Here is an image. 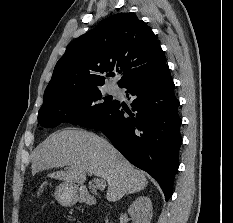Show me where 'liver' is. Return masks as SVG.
<instances>
[{
  "instance_id": "6515ba94",
  "label": "liver",
  "mask_w": 233,
  "mask_h": 223,
  "mask_svg": "<svg viewBox=\"0 0 233 223\" xmlns=\"http://www.w3.org/2000/svg\"><path fill=\"white\" fill-rule=\"evenodd\" d=\"M53 167L63 169L49 173V177L76 185H83L87 175L103 177L107 181L108 201L141 191L148 183L144 171L135 169L107 139L79 127L55 131L35 147L32 175Z\"/></svg>"
}]
</instances>
